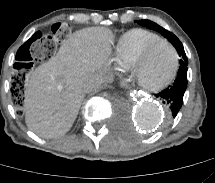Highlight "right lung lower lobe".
Masks as SVG:
<instances>
[{
    "label": "right lung lower lobe",
    "instance_id": "obj_1",
    "mask_svg": "<svg viewBox=\"0 0 215 183\" xmlns=\"http://www.w3.org/2000/svg\"><path fill=\"white\" fill-rule=\"evenodd\" d=\"M17 90H18V89L14 87V88L12 89V92H14V93L17 95V93H16Z\"/></svg>",
    "mask_w": 215,
    "mask_h": 183
}]
</instances>
